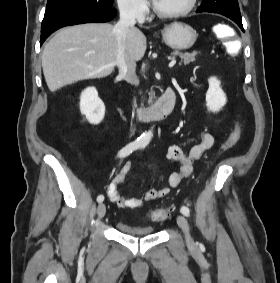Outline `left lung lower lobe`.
<instances>
[{"instance_id": "1", "label": "left lung lower lobe", "mask_w": 280, "mask_h": 283, "mask_svg": "<svg viewBox=\"0 0 280 283\" xmlns=\"http://www.w3.org/2000/svg\"><path fill=\"white\" fill-rule=\"evenodd\" d=\"M230 19L233 20L241 28V30L244 31L241 18L231 17Z\"/></svg>"}]
</instances>
